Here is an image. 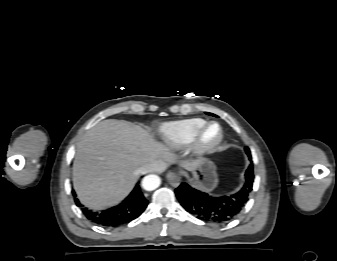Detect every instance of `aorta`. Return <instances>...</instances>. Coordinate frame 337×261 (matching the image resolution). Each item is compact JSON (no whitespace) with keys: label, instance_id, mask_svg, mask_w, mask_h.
Returning a JSON list of instances; mask_svg holds the SVG:
<instances>
[{"label":"aorta","instance_id":"762f6f07","mask_svg":"<svg viewBox=\"0 0 337 261\" xmlns=\"http://www.w3.org/2000/svg\"><path fill=\"white\" fill-rule=\"evenodd\" d=\"M160 183H161V180L159 176L154 175V174L147 175L142 180V186L147 191L155 190L156 188L159 187Z\"/></svg>","mask_w":337,"mask_h":261}]
</instances>
